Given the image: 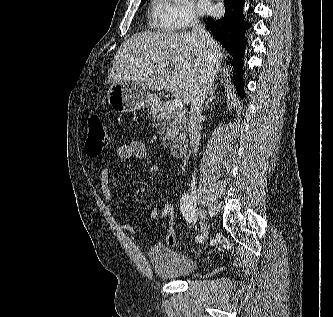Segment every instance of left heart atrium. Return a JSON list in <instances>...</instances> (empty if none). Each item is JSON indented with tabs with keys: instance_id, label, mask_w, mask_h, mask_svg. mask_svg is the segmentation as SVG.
<instances>
[{
	"instance_id": "1",
	"label": "left heart atrium",
	"mask_w": 333,
	"mask_h": 317,
	"mask_svg": "<svg viewBox=\"0 0 333 317\" xmlns=\"http://www.w3.org/2000/svg\"><path fill=\"white\" fill-rule=\"evenodd\" d=\"M198 9L202 13H208L212 11V6L208 3L207 0H199Z\"/></svg>"
}]
</instances>
